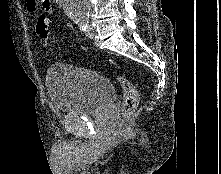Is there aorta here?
<instances>
[{
	"label": "aorta",
	"mask_w": 221,
	"mask_h": 174,
	"mask_svg": "<svg viewBox=\"0 0 221 174\" xmlns=\"http://www.w3.org/2000/svg\"><path fill=\"white\" fill-rule=\"evenodd\" d=\"M64 13L73 20L86 21L89 17L90 0H60Z\"/></svg>",
	"instance_id": "762f6f07"
}]
</instances>
